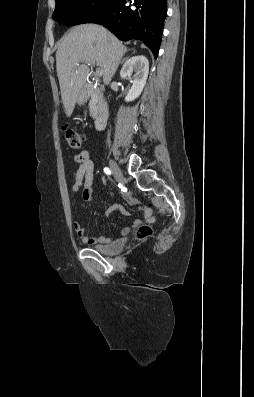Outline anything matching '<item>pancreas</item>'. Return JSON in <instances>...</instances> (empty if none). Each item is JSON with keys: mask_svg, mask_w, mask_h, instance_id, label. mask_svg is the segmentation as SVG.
Listing matches in <instances>:
<instances>
[{"mask_svg": "<svg viewBox=\"0 0 254 397\" xmlns=\"http://www.w3.org/2000/svg\"><path fill=\"white\" fill-rule=\"evenodd\" d=\"M98 104H99V97L96 94H93L91 96V100L89 101V110H90V115L92 117H94L97 113Z\"/></svg>", "mask_w": 254, "mask_h": 397, "instance_id": "pancreas-1", "label": "pancreas"}]
</instances>
